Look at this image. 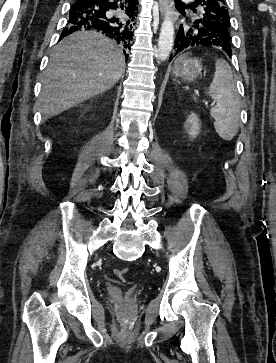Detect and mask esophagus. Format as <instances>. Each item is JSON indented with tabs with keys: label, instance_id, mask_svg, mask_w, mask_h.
<instances>
[{
	"label": "esophagus",
	"instance_id": "1",
	"mask_svg": "<svg viewBox=\"0 0 276 363\" xmlns=\"http://www.w3.org/2000/svg\"><path fill=\"white\" fill-rule=\"evenodd\" d=\"M161 12L164 13L167 7V0H159Z\"/></svg>",
	"mask_w": 276,
	"mask_h": 363
}]
</instances>
